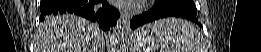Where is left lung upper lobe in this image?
Returning <instances> with one entry per match:
<instances>
[{
	"instance_id": "left-lung-upper-lobe-1",
	"label": "left lung upper lobe",
	"mask_w": 261,
	"mask_h": 52,
	"mask_svg": "<svg viewBox=\"0 0 261 52\" xmlns=\"http://www.w3.org/2000/svg\"><path fill=\"white\" fill-rule=\"evenodd\" d=\"M158 1L165 2V3L183 2L195 7L193 0H158Z\"/></svg>"
}]
</instances>
